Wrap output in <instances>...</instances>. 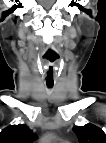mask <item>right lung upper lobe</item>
Instances as JSON below:
<instances>
[{
  "mask_svg": "<svg viewBox=\"0 0 106 143\" xmlns=\"http://www.w3.org/2000/svg\"><path fill=\"white\" fill-rule=\"evenodd\" d=\"M36 135L25 124L11 125L0 133V143H32Z\"/></svg>",
  "mask_w": 106,
  "mask_h": 143,
  "instance_id": "right-lung-upper-lobe-1",
  "label": "right lung upper lobe"
}]
</instances>
